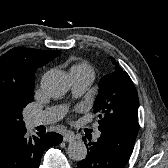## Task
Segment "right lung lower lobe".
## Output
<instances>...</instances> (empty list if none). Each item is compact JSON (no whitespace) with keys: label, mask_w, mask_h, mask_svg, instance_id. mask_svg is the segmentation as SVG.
Returning a JSON list of instances; mask_svg holds the SVG:
<instances>
[{"label":"right lung lower lobe","mask_w":168,"mask_h":168,"mask_svg":"<svg viewBox=\"0 0 168 168\" xmlns=\"http://www.w3.org/2000/svg\"><path fill=\"white\" fill-rule=\"evenodd\" d=\"M61 141L62 136L54 132L30 137L24 127L0 146V168H39L43 152Z\"/></svg>","instance_id":"1"}]
</instances>
